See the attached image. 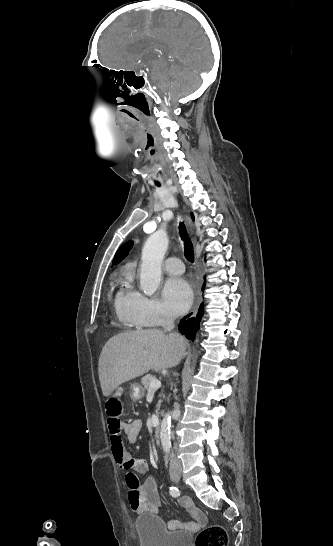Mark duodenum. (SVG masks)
Listing matches in <instances>:
<instances>
[{"mask_svg": "<svg viewBox=\"0 0 333 546\" xmlns=\"http://www.w3.org/2000/svg\"><path fill=\"white\" fill-rule=\"evenodd\" d=\"M153 438L157 444L161 442V428L159 425L155 426L153 429Z\"/></svg>", "mask_w": 333, "mask_h": 546, "instance_id": "obj_1", "label": "duodenum"}]
</instances>
